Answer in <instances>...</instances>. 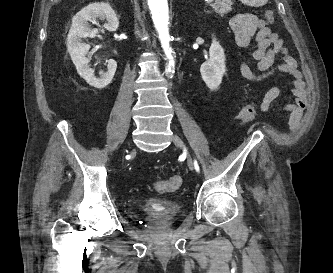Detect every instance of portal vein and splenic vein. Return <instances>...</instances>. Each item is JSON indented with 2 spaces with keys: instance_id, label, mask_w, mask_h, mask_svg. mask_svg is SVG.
Wrapping results in <instances>:
<instances>
[{
  "instance_id": "obj_1",
  "label": "portal vein and splenic vein",
  "mask_w": 333,
  "mask_h": 273,
  "mask_svg": "<svg viewBox=\"0 0 333 273\" xmlns=\"http://www.w3.org/2000/svg\"><path fill=\"white\" fill-rule=\"evenodd\" d=\"M206 1V3H211V2H213V0H205Z\"/></svg>"
}]
</instances>
